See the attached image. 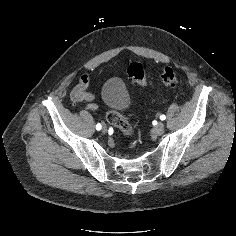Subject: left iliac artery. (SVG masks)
<instances>
[{"instance_id": "obj_1", "label": "left iliac artery", "mask_w": 236, "mask_h": 236, "mask_svg": "<svg viewBox=\"0 0 236 236\" xmlns=\"http://www.w3.org/2000/svg\"><path fill=\"white\" fill-rule=\"evenodd\" d=\"M160 119H161V120H165V119H166V116H165V115H161V116H160Z\"/></svg>"}]
</instances>
